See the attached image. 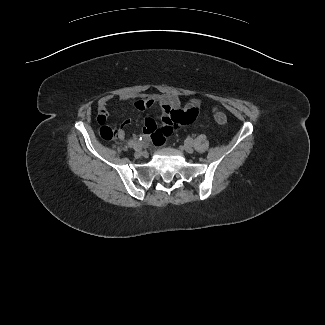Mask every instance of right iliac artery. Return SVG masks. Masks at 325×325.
<instances>
[{
	"label": "right iliac artery",
	"mask_w": 325,
	"mask_h": 325,
	"mask_svg": "<svg viewBox=\"0 0 325 325\" xmlns=\"http://www.w3.org/2000/svg\"><path fill=\"white\" fill-rule=\"evenodd\" d=\"M128 146H129L130 148H134V149H135V148L137 147V144H136L135 141L132 140V141H129V142H128Z\"/></svg>",
	"instance_id": "obj_1"
}]
</instances>
